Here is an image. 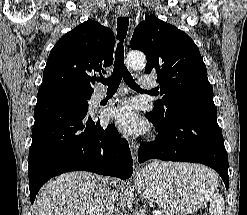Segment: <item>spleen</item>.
Instances as JSON below:
<instances>
[{"instance_id":"spleen-1","label":"spleen","mask_w":247,"mask_h":215,"mask_svg":"<svg viewBox=\"0 0 247 215\" xmlns=\"http://www.w3.org/2000/svg\"><path fill=\"white\" fill-rule=\"evenodd\" d=\"M212 174V173H211ZM210 215H224V199L219 192L214 193L210 196Z\"/></svg>"}]
</instances>
